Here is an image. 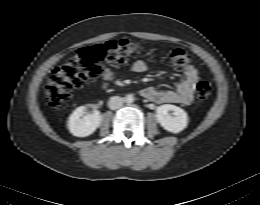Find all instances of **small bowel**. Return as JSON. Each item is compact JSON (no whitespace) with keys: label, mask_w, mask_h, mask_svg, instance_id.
Here are the masks:
<instances>
[{"label":"small bowel","mask_w":260,"mask_h":205,"mask_svg":"<svg viewBox=\"0 0 260 205\" xmlns=\"http://www.w3.org/2000/svg\"><path fill=\"white\" fill-rule=\"evenodd\" d=\"M147 70V64L143 60H137L132 65V71L143 73ZM185 79L176 82L172 90H158L154 87H145L141 90L142 97L156 103H173L190 105L194 99V92L199 81L198 70L193 65H186L183 69ZM116 71L105 67L102 71V87L107 88L115 78Z\"/></svg>","instance_id":"1"}]
</instances>
